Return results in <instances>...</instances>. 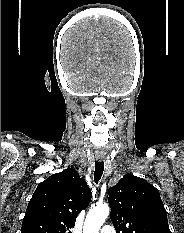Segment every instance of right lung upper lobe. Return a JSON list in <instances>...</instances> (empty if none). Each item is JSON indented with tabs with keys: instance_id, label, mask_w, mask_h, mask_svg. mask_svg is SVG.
<instances>
[{
	"instance_id": "cb5924a9",
	"label": "right lung upper lobe",
	"mask_w": 184,
	"mask_h": 233,
	"mask_svg": "<svg viewBox=\"0 0 184 233\" xmlns=\"http://www.w3.org/2000/svg\"><path fill=\"white\" fill-rule=\"evenodd\" d=\"M91 190L73 168L41 182L28 203L21 233H71L78 214L91 201Z\"/></svg>"
}]
</instances>
